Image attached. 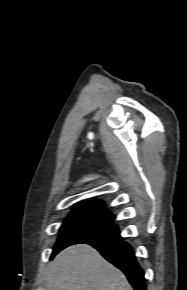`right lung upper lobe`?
Wrapping results in <instances>:
<instances>
[{
    "label": "right lung upper lobe",
    "mask_w": 187,
    "mask_h": 290,
    "mask_svg": "<svg viewBox=\"0 0 187 290\" xmlns=\"http://www.w3.org/2000/svg\"><path fill=\"white\" fill-rule=\"evenodd\" d=\"M77 209H101L104 210V202L103 201H80L75 204L74 210Z\"/></svg>",
    "instance_id": "obj_1"
}]
</instances>
